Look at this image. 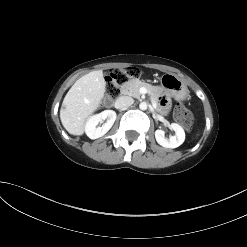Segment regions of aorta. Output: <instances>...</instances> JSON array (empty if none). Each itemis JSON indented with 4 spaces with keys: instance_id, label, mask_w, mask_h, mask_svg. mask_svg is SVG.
Masks as SVG:
<instances>
[{
    "instance_id": "1",
    "label": "aorta",
    "mask_w": 247,
    "mask_h": 247,
    "mask_svg": "<svg viewBox=\"0 0 247 247\" xmlns=\"http://www.w3.org/2000/svg\"><path fill=\"white\" fill-rule=\"evenodd\" d=\"M147 107H148V105H147L146 102H141V103L139 104V108H140L141 110H146Z\"/></svg>"
}]
</instances>
